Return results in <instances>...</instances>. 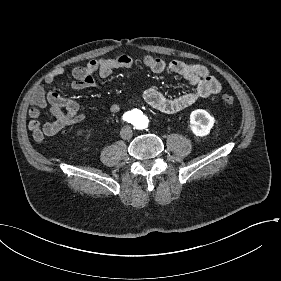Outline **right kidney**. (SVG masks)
Wrapping results in <instances>:
<instances>
[{
	"label": "right kidney",
	"mask_w": 281,
	"mask_h": 281,
	"mask_svg": "<svg viewBox=\"0 0 281 281\" xmlns=\"http://www.w3.org/2000/svg\"><path fill=\"white\" fill-rule=\"evenodd\" d=\"M77 134H81V131H78Z\"/></svg>",
	"instance_id": "ca27d5eb"
}]
</instances>
